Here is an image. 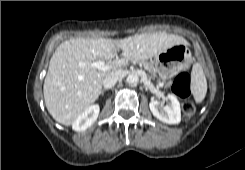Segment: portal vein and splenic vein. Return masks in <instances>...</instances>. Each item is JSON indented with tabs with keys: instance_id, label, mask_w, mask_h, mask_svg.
Wrapping results in <instances>:
<instances>
[{
	"instance_id": "1",
	"label": "portal vein and splenic vein",
	"mask_w": 245,
	"mask_h": 170,
	"mask_svg": "<svg viewBox=\"0 0 245 170\" xmlns=\"http://www.w3.org/2000/svg\"><path fill=\"white\" fill-rule=\"evenodd\" d=\"M81 66H85V63H80ZM91 67L93 68H97L98 70L101 71H106L109 69V66L105 64V61H97V62H93L90 64Z\"/></svg>"
}]
</instances>
